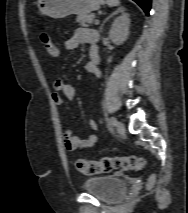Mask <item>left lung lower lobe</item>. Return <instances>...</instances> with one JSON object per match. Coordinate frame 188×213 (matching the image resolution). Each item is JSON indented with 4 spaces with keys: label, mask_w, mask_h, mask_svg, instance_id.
<instances>
[{
    "label": "left lung lower lobe",
    "mask_w": 188,
    "mask_h": 213,
    "mask_svg": "<svg viewBox=\"0 0 188 213\" xmlns=\"http://www.w3.org/2000/svg\"><path fill=\"white\" fill-rule=\"evenodd\" d=\"M146 13L149 15V11L151 8V0H134Z\"/></svg>",
    "instance_id": "obj_1"
}]
</instances>
